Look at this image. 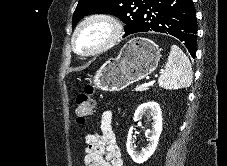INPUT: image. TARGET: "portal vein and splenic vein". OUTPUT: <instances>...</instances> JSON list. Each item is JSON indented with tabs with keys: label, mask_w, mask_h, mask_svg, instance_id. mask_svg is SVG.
Listing matches in <instances>:
<instances>
[{
	"label": "portal vein and splenic vein",
	"mask_w": 227,
	"mask_h": 166,
	"mask_svg": "<svg viewBox=\"0 0 227 166\" xmlns=\"http://www.w3.org/2000/svg\"><path fill=\"white\" fill-rule=\"evenodd\" d=\"M153 83H154V81L146 82L142 85V87H148L149 85H152Z\"/></svg>",
	"instance_id": "portal-vein-and-splenic-vein-1"
}]
</instances>
